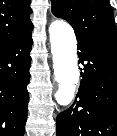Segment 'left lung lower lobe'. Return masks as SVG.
I'll use <instances>...</instances> for the list:
<instances>
[{
  "instance_id": "left-lung-lower-lobe-1",
  "label": "left lung lower lobe",
  "mask_w": 117,
  "mask_h": 136,
  "mask_svg": "<svg viewBox=\"0 0 117 136\" xmlns=\"http://www.w3.org/2000/svg\"><path fill=\"white\" fill-rule=\"evenodd\" d=\"M81 83L56 120L57 136H117V48L77 39Z\"/></svg>"
}]
</instances>
